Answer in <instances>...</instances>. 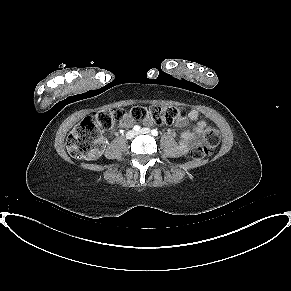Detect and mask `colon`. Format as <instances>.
I'll return each instance as SVG.
<instances>
[{
	"mask_svg": "<svg viewBox=\"0 0 291 291\" xmlns=\"http://www.w3.org/2000/svg\"><path fill=\"white\" fill-rule=\"evenodd\" d=\"M129 116L137 122H153L156 124H170L184 118V113L175 107L136 106L129 112L121 108L104 109L85 117L68 135L66 147L76 159L93 160L102 150L101 131L112 129L124 117ZM204 144L193 146L189 158L200 160L211 153L219 144V131L212 126L205 128Z\"/></svg>",
	"mask_w": 291,
	"mask_h": 291,
	"instance_id": "obj_1",
	"label": "colon"
}]
</instances>
